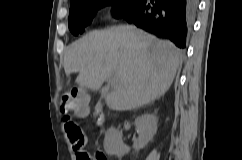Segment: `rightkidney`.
Returning <instances> with one entry per match:
<instances>
[{
	"label": "right kidney",
	"mask_w": 242,
	"mask_h": 160,
	"mask_svg": "<svg viewBox=\"0 0 242 160\" xmlns=\"http://www.w3.org/2000/svg\"><path fill=\"white\" fill-rule=\"evenodd\" d=\"M135 126L139 131L138 138L133 143L135 150L144 148L157 132V117L153 114H144L136 118ZM104 149L107 154L123 156L129 153L130 148L122 141V135L113 127L105 133Z\"/></svg>",
	"instance_id": "ca27d5eb"
}]
</instances>
